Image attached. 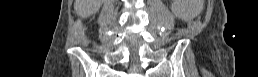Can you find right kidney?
<instances>
[{
  "mask_svg": "<svg viewBox=\"0 0 258 77\" xmlns=\"http://www.w3.org/2000/svg\"><path fill=\"white\" fill-rule=\"evenodd\" d=\"M103 2V0H93V4L90 8H89V14L90 13H95L99 10L100 4Z\"/></svg>",
  "mask_w": 258,
  "mask_h": 77,
  "instance_id": "ca27d5eb",
  "label": "right kidney"
}]
</instances>
